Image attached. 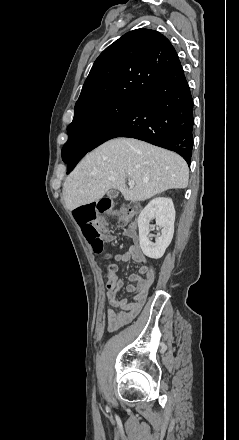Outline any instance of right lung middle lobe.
<instances>
[{
	"label": "right lung middle lobe",
	"mask_w": 239,
	"mask_h": 440,
	"mask_svg": "<svg viewBox=\"0 0 239 440\" xmlns=\"http://www.w3.org/2000/svg\"><path fill=\"white\" fill-rule=\"evenodd\" d=\"M135 99L117 96L75 113L72 123L67 128L69 137L62 151L89 149L102 132L123 116Z\"/></svg>",
	"instance_id": "1"
}]
</instances>
